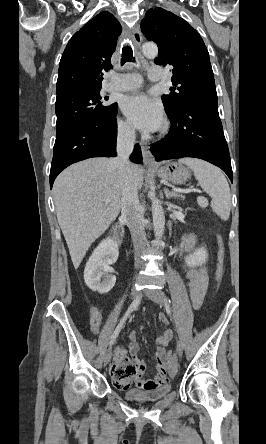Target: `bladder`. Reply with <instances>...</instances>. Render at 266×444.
<instances>
[{
	"label": "bladder",
	"mask_w": 266,
	"mask_h": 444,
	"mask_svg": "<svg viewBox=\"0 0 266 444\" xmlns=\"http://www.w3.org/2000/svg\"><path fill=\"white\" fill-rule=\"evenodd\" d=\"M171 391V385L166 384L154 389L139 390L130 388L124 391V396L134 401H157L165 397Z\"/></svg>",
	"instance_id": "1"
}]
</instances>
